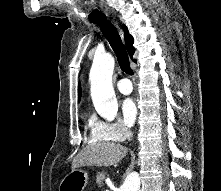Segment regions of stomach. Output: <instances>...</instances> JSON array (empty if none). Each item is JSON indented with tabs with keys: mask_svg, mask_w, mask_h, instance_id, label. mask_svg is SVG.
Returning a JSON list of instances; mask_svg holds the SVG:
<instances>
[{
	"mask_svg": "<svg viewBox=\"0 0 221 191\" xmlns=\"http://www.w3.org/2000/svg\"><path fill=\"white\" fill-rule=\"evenodd\" d=\"M88 174L82 169H73L60 183L59 191H83L88 184Z\"/></svg>",
	"mask_w": 221,
	"mask_h": 191,
	"instance_id": "obj_1",
	"label": "stomach"
}]
</instances>
